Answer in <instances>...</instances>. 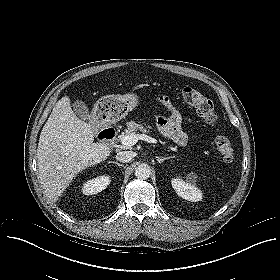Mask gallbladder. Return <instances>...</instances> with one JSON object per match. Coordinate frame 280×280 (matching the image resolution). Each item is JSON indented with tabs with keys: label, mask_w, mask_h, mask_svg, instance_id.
Segmentation results:
<instances>
[{
	"label": "gallbladder",
	"mask_w": 280,
	"mask_h": 280,
	"mask_svg": "<svg viewBox=\"0 0 280 280\" xmlns=\"http://www.w3.org/2000/svg\"><path fill=\"white\" fill-rule=\"evenodd\" d=\"M72 108H73L74 113L82 120H84V121L91 120L90 109L85 104V102H83L82 100L74 101V103L72 104ZM95 131L97 133V129H95Z\"/></svg>",
	"instance_id": "bac80fb5"
}]
</instances>
